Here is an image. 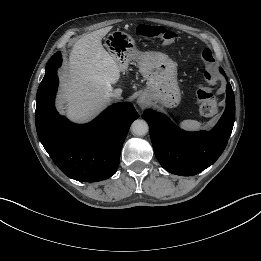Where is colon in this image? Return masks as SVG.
Masks as SVG:
<instances>
[{"mask_svg": "<svg viewBox=\"0 0 261 261\" xmlns=\"http://www.w3.org/2000/svg\"><path fill=\"white\" fill-rule=\"evenodd\" d=\"M136 31L142 37L158 39L164 46L173 45L177 37L173 31L161 26L139 25ZM200 58L205 66V72L198 78L197 98L200 102V111L205 116H214L218 112V105L213 98L214 59L209 49L202 50Z\"/></svg>", "mask_w": 261, "mask_h": 261, "instance_id": "obj_1", "label": "colon"}]
</instances>
